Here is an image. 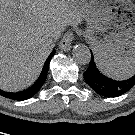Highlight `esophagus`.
I'll list each match as a JSON object with an SVG mask.
<instances>
[{
	"label": "esophagus",
	"mask_w": 135,
	"mask_h": 135,
	"mask_svg": "<svg viewBox=\"0 0 135 135\" xmlns=\"http://www.w3.org/2000/svg\"><path fill=\"white\" fill-rule=\"evenodd\" d=\"M74 39L73 31H68L64 34L62 40L60 41L59 48L62 51L68 52L71 49V43Z\"/></svg>",
	"instance_id": "34e87169"
}]
</instances>
